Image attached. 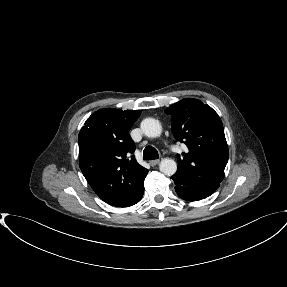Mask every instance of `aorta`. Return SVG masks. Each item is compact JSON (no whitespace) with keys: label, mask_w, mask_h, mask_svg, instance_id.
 <instances>
[{"label":"aorta","mask_w":287,"mask_h":287,"mask_svg":"<svg viewBox=\"0 0 287 287\" xmlns=\"http://www.w3.org/2000/svg\"><path fill=\"white\" fill-rule=\"evenodd\" d=\"M140 127L143 134L149 138L159 137L162 132L160 122L154 118L143 119ZM159 169L166 176H172L177 171V164L173 159L164 158L159 164Z\"/></svg>","instance_id":"1"}]
</instances>
